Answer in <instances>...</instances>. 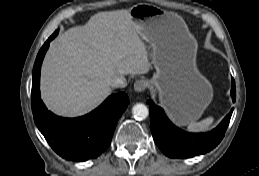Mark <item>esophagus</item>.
I'll use <instances>...</instances> for the list:
<instances>
[{"instance_id":"1","label":"esophagus","mask_w":259,"mask_h":176,"mask_svg":"<svg viewBox=\"0 0 259 176\" xmlns=\"http://www.w3.org/2000/svg\"><path fill=\"white\" fill-rule=\"evenodd\" d=\"M147 87V81L140 79V80H136L134 83V90L136 92H142L146 89Z\"/></svg>"}]
</instances>
